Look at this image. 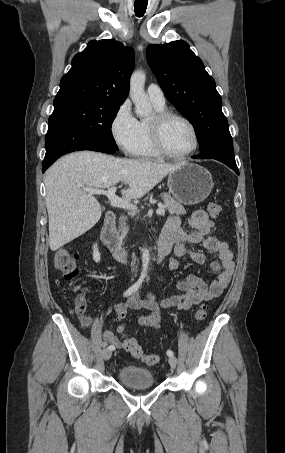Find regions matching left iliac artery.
Listing matches in <instances>:
<instances>
[{"label":"left iliac artery","mask_w":285,"mask_h":453,"mask_svg":"<svg viewBox=\"0 0 285 453\" xmlns=\"http://www.w3.org/2000/svg\"><path fill=\"white\" fill-rule=\"evenodd\" d=\"M166 353H167V355H168V356H173V355H174L173 351H172V350H170V349H169V350H167V352H166Z\"/></svg>","instance_id":"obj_1"}]
</instances>
